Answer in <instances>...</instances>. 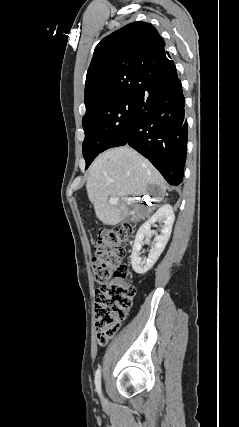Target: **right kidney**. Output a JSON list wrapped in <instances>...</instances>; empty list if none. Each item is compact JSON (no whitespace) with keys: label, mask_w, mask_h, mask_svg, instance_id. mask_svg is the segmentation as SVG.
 <instances>
[{"label":"right kidney","mask_w":239,"mask_h":427,"mask_svg":"<svg viewBox=\"0 0 239 427\" xmlns=\"http://www.w3.org/2000/svg\"><path fill=\"white\" fill-rule=\"evenodd\" d=\"M174 219L175 215L172 206L166 204L159 208L157 212L139 228L131 254L132 268L136 273L145 274L158 260L170 238ZM156 222L163 224L161 234L154 238L155 245L151 248L148 258L142 260L140 257V251L142 249V245L148 242L147 239L145 241L144 239L152 236L153 233L151 231V225Z\"/></svg>","instance_id":"ca27d5eb"}]
</instances>
